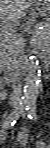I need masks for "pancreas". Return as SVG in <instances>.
<instances>
[{
	"instance_id": "cf45deb5",
	"label": "pancreas",
	"mask_w": 50,
	"mask_h": 148,
	"mask_svg": "<svg viewBox=\"0 0 50 148\" xmlns=\"http://www.w3.org/2000/svg\"><path fill=\"white\" fill-rule=\"evenodd\" d=\"M4 28H5V31L3 33V37L6 39V44H7L4 47V50L8 52L18 51L20 53V49L23 45L22 35L15 32L14 26H6ZM37 35H38L37 42L42 43L44 33L42 31H38ZM3 57H4V60L7 61L8 53L5 52L3 54ZM3 67L6 68L7 66L4 65Z\"/></svg>"
}]
</instances>
